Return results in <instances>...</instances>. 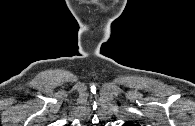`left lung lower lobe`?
<instances>
[{
	"label": "left lung lower lobe",
	"instance_id": "left-lung-lower-lobe-1",
	"mask_svg": "<svg viewBox=\"0 0 195 126\" xmlns=\"http://www.w3.org/2000/svg\"><path fill=\"white\" fill-rule=\"evenodd\" d=\"M123 126H130V123L127 122V123L123 124Z\"/></svg>",
	"mask_w": 195,
	"mask_h": 126
}]
</instances>
